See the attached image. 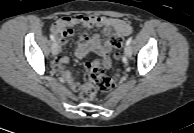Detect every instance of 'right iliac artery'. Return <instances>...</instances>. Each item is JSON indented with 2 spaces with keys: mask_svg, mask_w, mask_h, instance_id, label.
Wrapping results in <instances>:
<instances>
[{
  "mask_svg": "<svg viewBox=\"0 0 194 133\" xmlns=\"http://www.w3.org/2000/svg\"><path fill=\"white\" fill-rule=\"evenodd\" d=\"M50 39L52 40V41H54L55 42V37H54V35H50Z\"/></svg>",
  "mask_w": 194,
  "mask_h": 133,
  "instance_id": "1",
  "label": "right iliac artery"
}]
</instances>
